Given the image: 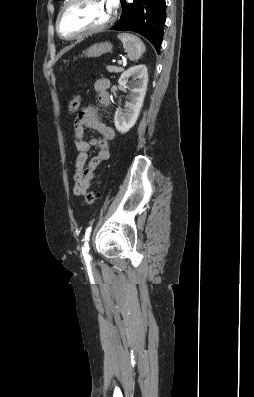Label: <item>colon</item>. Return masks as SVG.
Here are the masks:
<instances>
[{"label":"colon","mask_w":254,"mask_h":397,"mask_svg":"<svg viewBox=\"0 0 254 397\" xmlns=\"http://www.w3.org/2000/svg\"><path fill=\"white\" fill-rule=\"evenodd\" d=\"M81 102H82V97L79 94H77L73 98H71L67 103L68 112L73 113V112L77 111L81 105ZM98 197H99V194L96 191L91 190L86 195V202L89 205H93L96 203Z\"/></svg>","instance_id":"colon-1"}]
</instances>
